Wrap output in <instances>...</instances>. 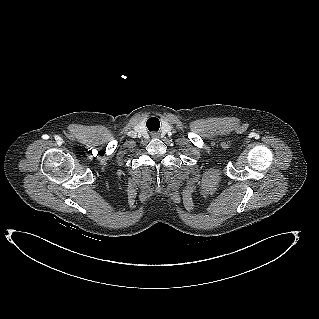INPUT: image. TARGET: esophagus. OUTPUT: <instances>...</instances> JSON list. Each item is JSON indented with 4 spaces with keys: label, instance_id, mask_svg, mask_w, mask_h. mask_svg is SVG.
<instances>
[{
    "label": "esophagus",
    "instance_id": "obj_1",
    "mask_svg": "<svg viewBox=\"0 0 319 319\" xmlns=\"http://www.w3.org/2000/svg\"><path fill=\"white\" fill-rule=\"evenodd\" d=\"M151 136H152L153 138H158V137H159V134L156 133V132H153V133H151Z\"/></svg>",
    "mask_w": 319,
    "mask_h": 319
}]
</instances>
